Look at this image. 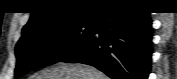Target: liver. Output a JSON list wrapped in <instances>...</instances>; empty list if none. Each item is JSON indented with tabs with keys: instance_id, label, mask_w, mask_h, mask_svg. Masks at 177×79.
Instances as JSON below:
<instances>
[{
	"instance_id": "1",
	"label": "liver",
	"mask_w": 177,
	"mask_h": 79,
	"mask_svg": "<svg viewBox=\"0 0 177 79\" xmlns=\"http://www.w3.org/2000/svg\"><path fill=\"white\" fill-rule=\"evenodd\" d=\"M30 79H108L96 68L81 63L59 62L50 68H45L30 77Z\"/></svg>"
}]
</instances>
